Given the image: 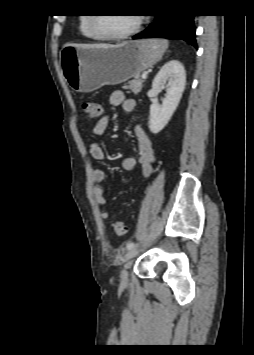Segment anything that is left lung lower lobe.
Instances as JSON below:
<instances>
[{
  "instance_id": "1",
  "label": "left lung lower lobe",
  "mask_w": 254,
  "mask_h": 355,
  "mask_svg": "<svg viewBox=\"0 0 254 355\" xmlns=\"http://www.w3.org/2000/svg\"><path fill=\"white\" fill-rule=\"evenodd\" d=\"M154 23L133 39L180 38L197 48L194 15H156Z\"/></svg>"
}]
</instances>
